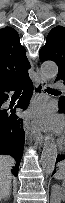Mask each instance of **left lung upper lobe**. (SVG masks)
<instances>
[{
    "label": "left lung upper lobe",
    "mask_w": 65,
    "mask_h": 203,
    "mask_svg": "<svg viewBox=\"0 0 65 203\" xmlns=\"http://www.w3.org/2000/svg\"><path fill=\"white\" fill-rule=\"evenodd\" d=\"M39 57L41 61L53 60L58 65L57 79H62L65 84V27L57 26L49 32ZM59 106L65 108V97L59 99Z\"/></svg>",
    "instance_id": "5c2ea615"
}]
</instances>
